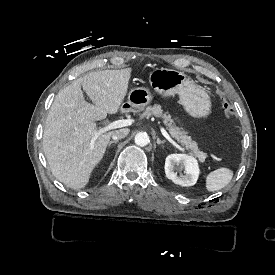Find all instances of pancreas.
Instances as JSON below:
<instances>
[{
  "label": "pancreas",
  "mask_w": 275,
  "mask_h": 275,
  "mask_svg": "<svg viewBox=\"0 0 275 275\" xmlns=\"http://www.w3.org/2000/svg\"><path fill=\"white\" fill-rule=\"evenodd\" d=\"M152 115L163 119V123L167 126L170 135L187 150H190L191 155L197 157L201 162L205 161L207 154L199 150L197 142L187 135L188 132L175 124L169 112H163L161 105L147 106L145 111L140 114V119L149 118Z\"/></svg>",
  "instance_id": "obj_1"
}]
</instances>
